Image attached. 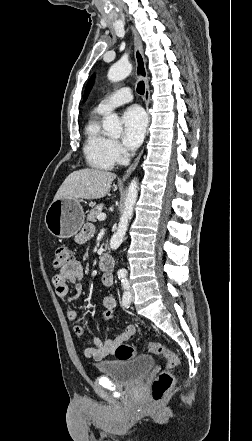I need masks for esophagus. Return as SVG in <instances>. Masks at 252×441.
I'll use <instances>...</instances> for the list:
<instances>
[{
  "mask_svg": "<svg viewBox=\"0 0 252 441\" xmlns=\"http://www.w3.org/2000/svg\"><path fill=\"white\" fill-rule=\"evenodd\" d=\"M132 32L134 35V57H135V61H136V76L138 78H141L144 83H145V92H144V101H145V105L148 108L149 103H150V88H149V84H148V76H147V69H146V60L144 57V53H143V45L142 42L140 40V37L137 33V31L132 28ZM143 154V151H141V153L137 156V158L134 160V162L130 165V167L128 168V170L126 171L125 175L123 176V180H125L127 177L130 176V174L135 170V168L137 167L140 158Z\"/></svg>",
  "mask_w": 252,
  "mask_h": 441,
  "instance_id": "obj_1",
  "label": "esophagus"
}]
</instances>
